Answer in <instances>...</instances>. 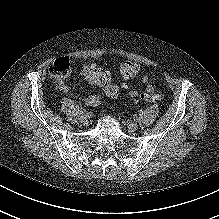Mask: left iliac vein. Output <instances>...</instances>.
<instances>
[{
  "instance_id": "left-iliac-vein-1",
  "label": "left iliac vein",
  "mask_w": 219,
  "mask_h": 219,
  "mask_svg": "<svg viewBox=\"0 0 219 219\" xmlns=\"http://www.w3.org/2000/svg\"><path fill=\"white\" fill-rule=\"evenodd\" d=\"M127 127L130 132H134L138 129V124L134 121H128Z\"/></svg>"
}]
</instances>
